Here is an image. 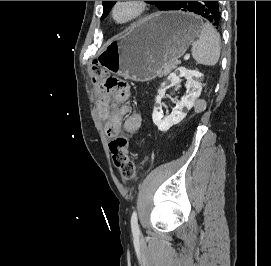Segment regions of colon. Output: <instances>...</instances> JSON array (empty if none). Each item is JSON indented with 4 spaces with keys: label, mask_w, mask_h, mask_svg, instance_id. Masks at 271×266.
I'll use <instances>...</instances> for the list:
<instances>
[{
    "label": "colon",
    "mask_w": 271,
    "mask_h": 266,
    "mask_svg": "<svg viewBox=\"0 0 271 266\" xmlns=\"http://www.w3.org/2000/svg\"><path fill=\"white\" fill-rule=\"evenodd\" d=\"M92 80L97 89L120 98H128L129 85L122 79L107 74L100 66L92 67ZM114 165L121 177L131 180L136 177V165L129 156V141L125 136H117L109 143Z\"/></svg>",
    "instance_id": "1"
}]
</instances>
